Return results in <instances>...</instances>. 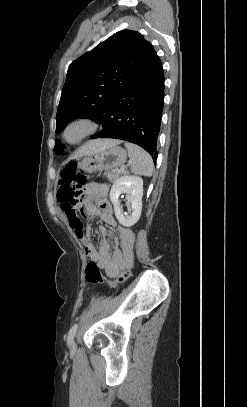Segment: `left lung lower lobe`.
<instances>
[{
  "label": "left lung lower lobe",
  "mask_w": 247,
  "mask_h": 407,
  "mask_svg": "<svg viewBox=\"0 0 247 407\" xmlns=\"http://www.w3.org/2000/svg\"><path fill=\"white\" fill-rule=\"evenodd\" d=\"M164 81L162 63L155 53L116 96L102 123L103 129L91 139L115 138L135 143L149 152L156 163Z\"/></svg>",
  "instance_id": "obj_1"
}]
</instances>
